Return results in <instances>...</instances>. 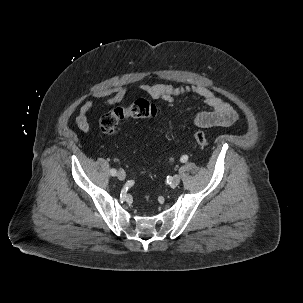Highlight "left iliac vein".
Here are the masks:
<instances>
[{
  "instance_id": "obj_1",
  "label": "left iliac vein",
  "mask_w": 303,
  "mask_h": 303,
  "mask_svg": "<svg viewBox=\"0 0 303 303\" xmlns=\"http://www.w3.org/2000/svg\"><path fill=\"white\" fill-rule=\"evenodd\" d=\"M179 183H180V176L178 174H175L170 181V186L171 188H175L176 186H178Z\"/></svg>"
}]
</instances>
